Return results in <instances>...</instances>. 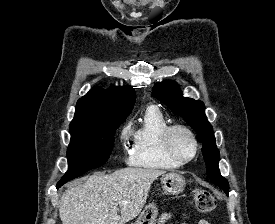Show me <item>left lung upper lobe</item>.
Segmentation results:
<instances>
[{"mask_svg": "<svg viewBox=\"0 0 275 224\" xmlns=\"http://www.w3.org/2000/svg\"><path fill=\"white\" fill-rule=\"evenodd\" d=\"M153 95L165 103L203 137L202 153L206 163L207 176L221 187L225 193L229 191L228 181L221 176L218 162L220 153L216 147L213 129L205 115L202 101L184 98L174 81H163L153 87Z\"/></svg>", "mask_w": 275, "mask_h": 224, "instance_id": "obj_1", "label": "left lung upper lobe"}]
</instances>
